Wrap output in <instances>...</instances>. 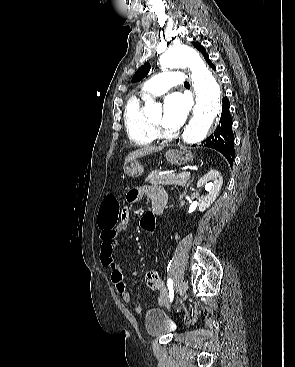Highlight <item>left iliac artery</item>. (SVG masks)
<instances>
[{
	"label": "left iliac artery",
	"mask_w": 295,
	"mask_h": 367,
	"mask_svg": "<svg viewBox=\"0 0 295 367\" xmlns=\"http://www.w3.org/2000/svg\"><path fill=\"white\" fill-rule=\"evenodd\" d=\"M167 285H168V290H169L170 302H172L173 297H174V290H173V281L171 278L168 279Z\"/></svg>",
	"instance_id": "obj_1"
}]
</instances>
